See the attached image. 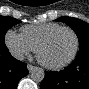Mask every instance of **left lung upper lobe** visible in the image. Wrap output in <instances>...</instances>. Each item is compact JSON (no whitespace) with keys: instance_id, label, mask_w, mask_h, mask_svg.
Segmentation results:
<instances>
[{"instance_id":"obj_1","label":"left lung upper lobe","mask_w":89,"mask_h":89,"mask_svg":"<svg viewBox=\"0 0 89 89\" xmlns=\"http://www.w3.org/2000/svg\"><path fill=\"white\" fill-rule=\"evenodd\" d=\"M56 21L65 22L74 30L79 39L80 49L89 48V25L86 22L73 17H60Z\"/></svg>"}]
</instances>
